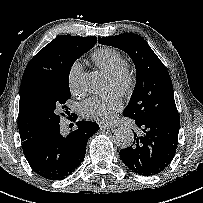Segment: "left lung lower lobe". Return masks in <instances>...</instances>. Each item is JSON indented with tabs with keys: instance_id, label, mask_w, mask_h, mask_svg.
<instances>
[{
	"instance_id": "left-lung-lower-lobe-1",
	"label": "left lung lower lobe",
	"mask_w": 203,
	"mask_h": 203,
	"mask_svg": "<svg viewBox=\"0 0 203 203\" xmlns=\"http://www.w3.org/2000/svg\"><path fill=\"white\" fill-rule=\"evenodd\" d=\"M134 123L133 144L120 150V158L139 175L159 174L168 167L176 153L180 120H134Z\"/></svg>"
}]
</instances>
